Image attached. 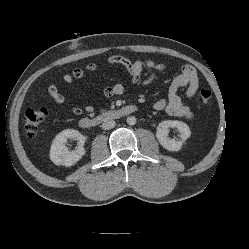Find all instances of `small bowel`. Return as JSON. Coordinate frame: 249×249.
<instances>
[{"instance_id": "c3829d8e", "label": "small bowel", "mask_w": 249, "mask_h": 249, "mask_svg": "<svg viewBox=\"0 0 249 249\" xmlns=\"http://www.w3.org/2000/svg\"><path fill=\"white\" fill-rule=\"evenodd\" d=\"M109 64H116L125 67L131 75L133 83H141L142 85L150 84L154 78L156 72H162L165 70V65L162 63L154 62L152 60H136L131 61L126 57L120 55H114L107 59ZM98 68L96 63H88L83 68H75L71 73L61 75V79L67 84H73L75 80L84 78L85 71L94 72ZM147 68L150 73L142 78L143 70ZM186 87L185 98H192L199 87V78L194 67L185 65L181 68L180 74L177 75L171 82L168 90L167 99H158L153 103V108L157 111H166L169 115L183 117L187 120H191L194 117V113L191 108L184 103L182 98L178 95L180 88ZM124 92V85L122 83H115L107 86L104 89V96L111 98L113 96L121 95ZM49 96L60 105H64L70 108V110L80 115L83 111H92L93 107L86 105L83 108L75 106L69 102V100L59 91L56 83L52 82L48 87Z\"/></svg>"}]
</instances>
